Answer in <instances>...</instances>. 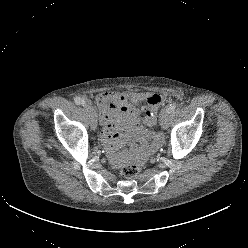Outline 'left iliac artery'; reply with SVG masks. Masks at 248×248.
Returning <instances> with one entry per match:
<instances>
[{
	"instance_id": "left-iliac-artery-1",
	"label": "left iliac artery",
	"mask_w": 248,
	"mask_h": 248,
	"mask_svg": "<svg viewBox=\"0 0 248 248\" xmlns=\"http://www.w3.org/2000/svg\"><path fill=\"white\" fill-rule=\"evenodd\" d=\"M176 106H177L176 103L170 104V105L167 107L169 113L173 112V111L175 110Z\"/></svg>"
}]
</instances>
